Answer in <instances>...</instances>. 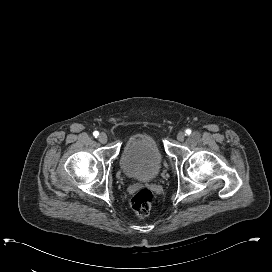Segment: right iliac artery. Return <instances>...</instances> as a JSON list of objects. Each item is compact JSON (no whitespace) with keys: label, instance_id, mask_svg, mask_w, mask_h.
Segmentation results:
<instances>
[{"label":"right iliac artery","instance_id":"82829eb1","mask_svg":"<svg viewBox=\"0 0 272 272\" xmlns=\"http://www.w3.org/2000/svg\"><path fill=\"white\" fill-rule=\"evenodd\" d=\"M93 135H94L95 137H97V136L99 135V132H98V131H94V132H93Z\"/></svg>","mask_w":272,"mask_h":272}]
</instances>
